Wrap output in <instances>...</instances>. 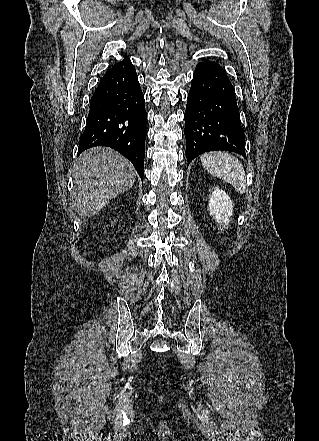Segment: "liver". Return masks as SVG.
Wrapping results in <instances>:
<instances>
[{
  "mask_svg": "<svg viewBox=\"0 0 319 441\" xmlns=\"http://www.w3.org/2000/svg\"><path fill=\"white\" fill-rule=\"evenodd\" d=\"M72 177V206L80 217H91L133 187L136 171L119 153L109 148L94 147L76 160Z\"/></svg>",
  "mask_w": 319,
  "mask_h": 441,
  "instance_id": "liver-1",
  "label": "liver"
}]
</instances>
